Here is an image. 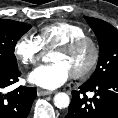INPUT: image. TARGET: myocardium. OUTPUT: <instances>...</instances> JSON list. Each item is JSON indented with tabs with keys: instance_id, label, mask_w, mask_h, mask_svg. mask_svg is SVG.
<instances>
[{
	"instance_id": "f54148a6",
	"label": "myocardium",
	"mask_w": 118,
	"mask_h": 118,
	"mask_svg": "<svg viewBox=\"0 0 118 118\" xmlns=\"http://www.w3.org/2000/svg\"><path fill=\"white\" fill-rule=\"evenodd\" d=\"M85 46H89L91 49L92 52L91 59L88 65L82 71L71 73V77L74 79L88 78L97 67V64L100 59V52H101L98 42L94 38L85 35L82 37L72 39L55 48L56 51H60L65 54H71Z\"/></svg>"
}]
</instances>
